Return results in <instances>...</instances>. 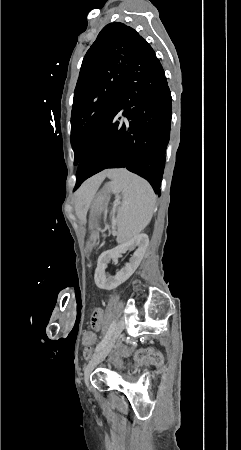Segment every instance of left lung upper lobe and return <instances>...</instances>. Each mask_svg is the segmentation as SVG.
<instances>
[{
  "label": "left lung upper lobe",
  "mask_w": 241,
  "mask_h": 450,
  "mask_svg": "<svg viewBox=\"0 0 241 450\" xmlns=\"http://www.w3.org/2000/svg\"><path fill=\"white\" fill-rule=\"evenodd\" d=\"M148 45L133 28L110 23L87 51L74 91L71 115L75 165L121 97L124 76L135 51Z\"/></svg>",
  "instance_id": "obj_1"
}]
</instances>
